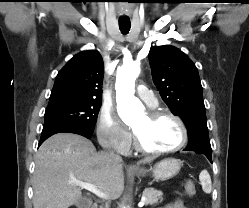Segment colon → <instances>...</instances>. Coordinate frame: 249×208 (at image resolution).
<instances>
[{
    "instance_id": "obj_1",
    "label": "colon",
    "mask_w": 249,
    "mask_h": 208,
    "mask_svg": "<svg viewBox=\"0 0 249 208\" xmlns=\"http://www.w3.org/2000/svg\"><path fill=\"white\" fill-rule=\"evenodd\" d=\"M186 193L189 196H194L196 194V186L193 181H188L185 185Z\"/></svg>"
}]
</instances>
